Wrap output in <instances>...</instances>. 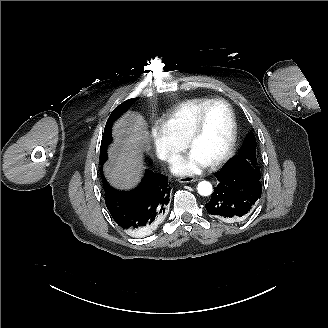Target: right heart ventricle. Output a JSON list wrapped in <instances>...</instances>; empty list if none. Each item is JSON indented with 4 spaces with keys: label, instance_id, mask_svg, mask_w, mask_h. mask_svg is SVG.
<instances>
[{
    "label": "right heart ventricle",
    "instance_id": "e07e8e85",
    "mask_svg": "<svg viewBox=\"0 0 328 328\" xmlns=\"http://www.w3.org/2000/svg\"><path fill=\"white\" fill-rule=\"evenodd\" d=\"M211 100V98L205 97L186 100L160 114L156 118V122H159L174 140L184 144L196 115Z\"/></svg>",
    "mask_w": 328,
    "mask_h": 328
}]
</instances>
